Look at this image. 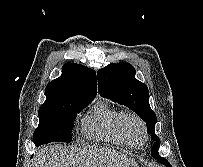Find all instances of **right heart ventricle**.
Listing matches in <instances>:
<instances>
[{"mask_svg": "<svg viewBox=\"0 0 203 167\" xmlns=\"http://www.w3.org/2000/svg\"><path fill=\"white\" fill-rule=\"evenodd\" d=\"M125 112L107 102L97 103L82 119L81 131L89 138L106 141L121 147H132L120 130Z\"/></svg>", "mask_w": 203, "mask_h": 167, "instance_id": "right-heart-ventricle-1", "label": "right heart ventricle"}]
</instances>
